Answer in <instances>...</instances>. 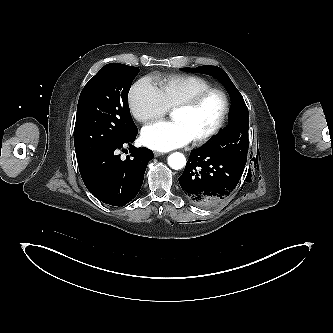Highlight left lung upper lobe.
Returning <instances> with one entry per match:
<instances>
[{
	"label": "left lung upper lobe",
	"mask_w": 333,
	"mask_h": 333,
	"mask_svg": "<svg viewBox=\"0 0 333 333\" xmlns=\"http://www.w3.org/2000/svg\"><path fill=\"white\" fill-rule=\"evenodd\" d=\"M180 69L187 72H199L211 75L224 84L231 98L229 127L228 129L221 130L219 136L214 138L205 147L245 166L249 148V116L247 106L240 92L234 86L228 75L219 67L206 65L199 66L198 68Z\"/></svg>",
	"instance_id": "left-lung-upper-lobe-1"
}]
</instances>
